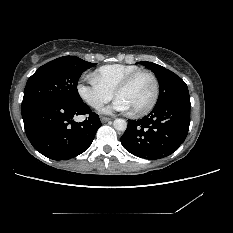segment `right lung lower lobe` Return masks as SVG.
Instances as JSON below:
<instances>
[{
    "label": "right lung lower lobe",
    "instance_id": "98d812e1",
    "mask_svg": "<svg viewBox=\"0 0 233 233\" xmlns=\"http://www.w3.org/2000/svg\"><path fill=\"white\" fill-rule=\"evenodd\" d=\"M26 135L32 146L53 160L71 159L86 151L98 128L99 116L83 103L68 104L57 100H41L22 107ZM89 114L77 123L75 115Z\"/></svg>",
    "mask_w": 233,
    "mask_h": 233
}]
</instances>
